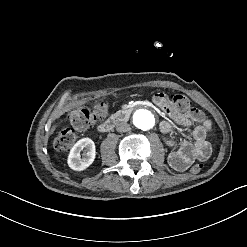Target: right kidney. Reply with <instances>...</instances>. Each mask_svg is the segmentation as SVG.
<instances>
[{
	"instance_id": "1",
	"label": "right kidney",
	"mask_w": 247,
	"mask_h": 247,
	"mask_svg": "<svg viewBox=\"0 0 247 247\" xmlns=\"http://www.w3.org/2000/svg\"><path fill=\"white\" fill-rule=\"evenodd\" d=\"M85 149L83 158H81V152ZM96 157V149L94 141L91 138L79 139L71 148L68 157L67 164L74 171H83L87 169L94 162Z\"/></svg>"
}]
</instances>
